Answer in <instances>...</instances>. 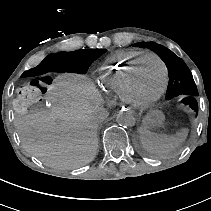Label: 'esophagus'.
Returning <instances> with one entry per match:
<instances>
[{
  "label": "esophagus",
  "mask_w": 211,
  "mask_h": 211,
  "mask_svg": "<svg viewBox=\"0 0 211 211\" xmlns=\"http://www.w3.org/2000/svg\"><path fill=\"white\" fill-rule=\"evenodd\" d=\"M119 109H120V111L125 112L127 114H130L133 111L132 106L127 105L125 103L120 104Z\"/></svg>",
  "instance_id": "obj_1"
}]
</instances>
